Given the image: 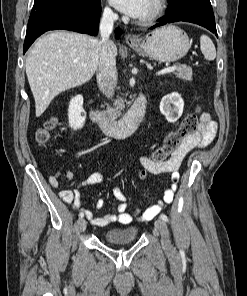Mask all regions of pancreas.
<instances>
[{"label": "pancreas", "instance_id": "1", "mask_svg": "<svg viewBox=\"0 0 247 296\" xmlns=\"http://www.w3.org/2000/svg\"><path fill=\"white\" fill-rule=\"evenodd\" d=\"M173 74L184 81H191L192 80V68L187 65H177L176 70ZM125 107V101L118 98L115 103L114 107H108L107 113L111 118H117L121 115V111Z\"/></svg>", "mask_w": 247, "mask_h": 296}]
</instances>
